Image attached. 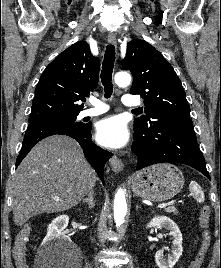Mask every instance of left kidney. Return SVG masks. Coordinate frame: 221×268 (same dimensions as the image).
<instances>
[{"mask_svg":"<svg viewBox=\"0 0 221 268\" xmlns=\"http://www.w3.org/2000/svg\"><path fill=\"white\" fill-rule=\"evenodd\" d=\"M157 227L170 231L172 236V251L168 258L163 257V251L159 250L155 254L156 264L159 268H172L183 253L182 234L176 223L166 216H156L147 225V228Z\"/></svg>","mask_w":221,"mask_h":268,"instance_id":"5707ae66","label":"left kidney"}]
</instances>
